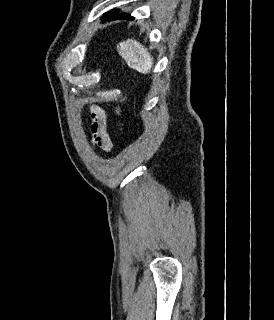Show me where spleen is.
<instances>
[{"instance_id":"3e777b00","label":"spleen","mask_w":274,"mask_h":320,"mask_svg":"<svg viewBox=\"0 0 274 320\" xmlns=\"http://www.w3.org/2000/svg\"><path fill=\"white\" fill-rule=\"evenodd\" d=\"M117 50L132 70H137L140 74H149V72H151L153 58L151 54H149L147 48L141 46L136 40L120 42L117 46Z\"/></svg>"}]
</instances>
